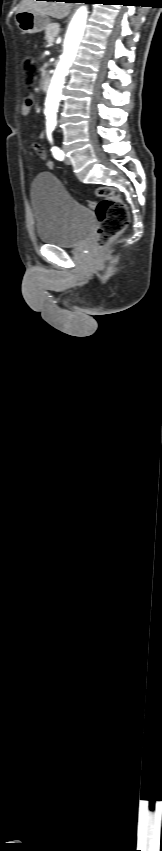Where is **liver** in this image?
<instances>
[{"instance_id": "6515ba94", "label": "liver", "mask_w": 162, "mask_h": 851, "mask_svg": "<svg viewBox=\"0 0 162 851\" xmlns=\"http://www.w3.org/2000/svg\"><path fill=\"white\" fill-rule=\"evenodd\" d=\"M72 4L56 1L22 0L18 12L30 11L36 14L63 19L68 16Z\"/></svg>"}]
</instances>
